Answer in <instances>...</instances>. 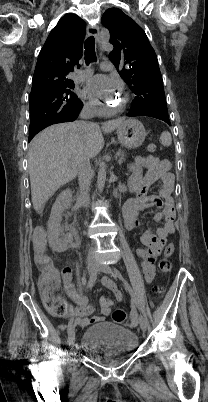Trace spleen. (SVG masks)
Wrapping results in <instances>:
<instances>
[{
	"label": "spleen",
	"mask_w": 208,
	"mask_h": 402,
	"mask_svg": "<svg viewBox=\"0 0 208 402\" xmlns=\"http://www.w3.org/2000/svg\"><path fill=\"white\" fill-rule=\"evenodd\" d=\"M161 144L162 146H171L172 144V138L171 134L169 132H162L160 136Z\"/></svg>",
	"instance_id": "1"
}]
</instances>
